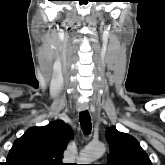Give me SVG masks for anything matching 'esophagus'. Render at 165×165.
Instances as JSON below:
<instances>
[{
    "mask_svg": "<svg viewBox=\"0 0 165 165\" xmlns=\"http://www.w3.org/2000/svg\"><path fill=\"white\" fill-rule=\"evenodd\" d=\"M88 109V104L86 102L77 103V110L80 112L86 111Z\"/></svg>",
    "mask_w": 165,
    "mask_h": 165,
    "instance_id": "1",
    "label": "esophagus"
}]
</instances>
